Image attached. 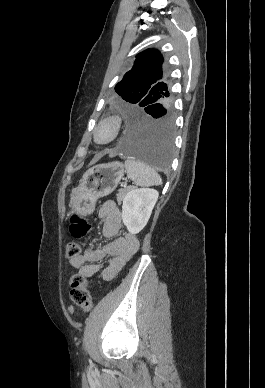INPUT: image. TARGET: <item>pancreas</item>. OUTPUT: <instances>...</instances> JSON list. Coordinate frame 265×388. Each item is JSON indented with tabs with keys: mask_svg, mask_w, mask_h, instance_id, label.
<instances>
[{
	"mask_svg": "<svg viewBox=\"0 0 265 388\" xmlns=\"http://www.w3.org/2000/svg\"><path fill=\"white\" fill-rule=\"evenodd\" d=\"M132 188H121V190H118L119 194H117V202L118 204H121L123 198H125L126 194L130 192Z\"/></svg>",
	"mask_w": 265,
	"mask_h": 388,
	"instance_id": "1",
	"label": "pancreas"
}]
</instances>
